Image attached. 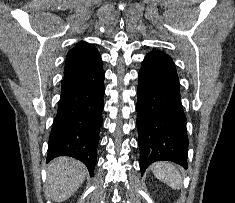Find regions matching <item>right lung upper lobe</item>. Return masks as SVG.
<instances>
[{
    "instance_id": "obj_1",
    "label": "right lung upper lobe",
    "mask_w": 235,
    "mask_h": 203,
    "mask_svg": "<svg viewBox=\"0 0 235 203\" xmlns=\"http://www.w3.org/2000/svg\"><path fill=\"white\" fill-rule=\"evenodd\" d=\"M99 56L98 50L86 42H80L67 54L64 72L71 73Z\"/></svg>"
}]
</instances>
